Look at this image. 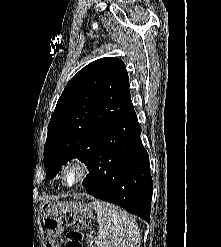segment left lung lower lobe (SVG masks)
<instances>
[{
  "label": "left lung lower lobe",
  "instance_id": "left-lung-lower-lobe-1",
  "mask_svg": "<svg viewBox=\"0 0 221 247\" xmlns=\"http://www.w3.org/2000/svg\"><path fill=\"white\" fill-rule=\"evenodd\" d=\"M140 134L135 112L111 124L87 166L83 186L92 196L149 222L153 182Z\"/></svg>",
  "mask_w": 221,
  "mask_h": 247
}]
</instances>
